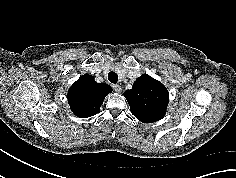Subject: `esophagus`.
<instances>
[{"instance_id": "1", "label": "esophagus", "mask_w": 236, "mask_h": 178, "mask_svg": "<svg viewBox=\"0 0 236 178\" xmlns=\"http://www.w3.org/2000/svg\"><path fill=\"white\" fill-rule=\"evenodd\" d=\"M113 89H114V91L117 92V93H120L121 90H122L121 87H120L119 85H117V84L113 85Z\"/></svg>"}]
</instances>
